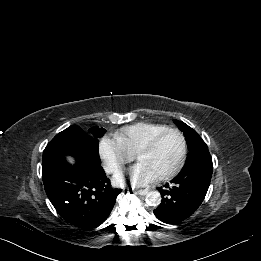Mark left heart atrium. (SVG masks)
I'll use <instances>...</instances> for the list:
<instances>
[{
  "label": "left heart atrium",
  "mask_w": 261,
  "mask_h": 261,
  "mask_svg": "<svg viewBox=\"0 0 261 261\" xmlns=\"http://www.w3.org/2000/svg\"><path fill=\"white\" fill-rule=\"evenodd\" d=\"M155 179V174L151 170H149L143 163L138 162L127 172L118 174L114 178V182L118 185L129 183L132 186L141 187L148 185Z\"/></svg>",
  "instance_id": "39dd6f15"
}]
</instances>
